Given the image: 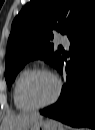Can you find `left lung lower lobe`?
<instances>
[{"label": "left lung lower lobe", "instance_id": "0a47b994", "mask_svg": "<svg viewBox=\"0 0 95 130\" xmlns=\"http://www.w3.org/2000/svg\"><path fill=\"white\" fill-rule=\"evenodd\" d=\"M71 60L59 100L40 114L72 127L95 126V12L69 37ZM61 57L56 68L62 73Z\"/></svg>", "mask_w": 95, "mask_h": 130}]
</instances>
